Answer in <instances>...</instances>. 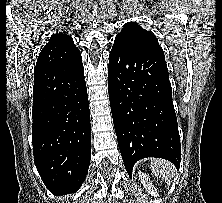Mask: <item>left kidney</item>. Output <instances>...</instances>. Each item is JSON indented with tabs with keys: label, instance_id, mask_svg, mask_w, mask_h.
Masks as SVG:
<instances>
[{
	"label": "left kidney",
	"instance_id": "left-kidney-1",
	"mask_svg": "<svg viewBox=\"0 0 222 203\" xmlns=\"http://www.w3.org/2000/svg\"><path fill=\"white\" fill-rule=\"evenodd\" d=\"M138 176L139 179L141 180V183L143 184L144 188L146 189V191L151 195V196H157V190L155 188V186L150 183V179L148 177L147 174L138 171Z\"/></svg>",
	"mask_w": 222,
	"mask_h": 203
}]
</instances>
